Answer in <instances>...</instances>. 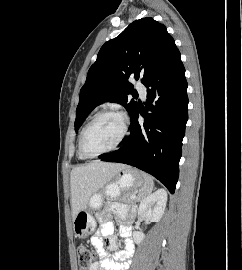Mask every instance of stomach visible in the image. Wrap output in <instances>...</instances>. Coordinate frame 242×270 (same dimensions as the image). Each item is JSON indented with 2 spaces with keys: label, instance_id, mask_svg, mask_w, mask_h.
Here are the masks:
<instances>
[{
  "label": "stomach",
  "instance_id": "stomach-1",
  "mask_svg": "<svg viewBox=\"0 0 242 270\" xmlns=\"http://www.w3.org/2000/svg\"><path fill=\"white\" fill-rule=\"evenodd\" d=\"M144 185V178L139 171L127 167L116 175L115 180L109 182L103 193H94L89 199L92 209H99L105 197L118 198L121 193H137ZM96 221L89 210L80 211L73 220V230L76 237L86 238L95 230Z\"/></svg>",
  "mask_w": 242,
  "mask_h": 270
}]
</instances>
